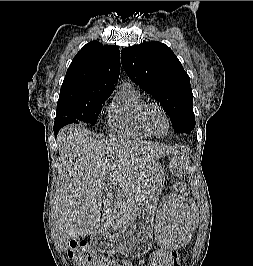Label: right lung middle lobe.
<instances>
[{"label":"right lung middle lobe","instance_id":"1","mask_svg":"<svg viewBox=\"0 0 253 266\" xmlns=\"http://www.w3.org/2000/svg\"><path fill=\"white\" fill-rule=\"evenodd\" d=\"M109 96L110 94H103L86 101L58 103L54 126L62 128L70 123L77 124L78 120L95 124L102 105Z\"/></svg>","mask_w":253,"mask_h":266}]
</instances>
